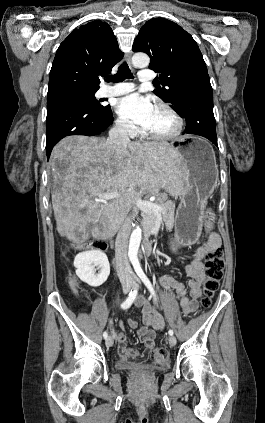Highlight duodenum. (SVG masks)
I'll return each instance as SVG.
<instances>
[{
	"label": "duodenum",
	"instance_id": "1",
	"mask_svg": "<svg viewBox=\"0 0 265 423\" xmlns=\"http://www.w3.org/2000/svg\"><path fill=\"white\" fill-rule=\"evenodd\" d=\"M153 253V246L150 241L145 242L143 255L144 257H149Z\"/></svg>",
	"mask_w": 265,
	"mask_h": 423
}]
</instances>
